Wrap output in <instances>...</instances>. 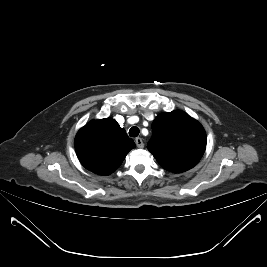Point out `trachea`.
<instances>
[{"mask_svg":"<svg viewBox=\"0 0 267 267\" xmlns=\"http://www.w3.org/2000/svg\"><path fill=\"white\" fill-rule=\"evenodd\" d=\"M139 128L138 127H132L130 130H129V136L130 137H137L139 135Z\"/></svg>","mask_w":267,"mask_h":267,"instance_id":"3493384b","label":"trachea"}]
</instances>
